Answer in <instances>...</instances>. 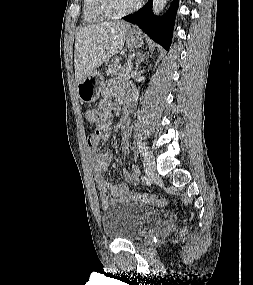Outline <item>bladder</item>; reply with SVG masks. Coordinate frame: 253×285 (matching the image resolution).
<instances>
[{
    "label": "bladder",
    "mask_w": 253,
    "mask_h": 285,
    "mask_svg": "<svg viewBox=\"0 0 253 285\" xmlns=\"http://www.w3.org/2000/svg\"><path fill=\"white\" fill-rule=\"evenodd\" d=\"M162 220L160 211L136 203L113 205L102 214V228L113 240H133Z\"/></svg>",
    "instance_id": "1"
}]
</instances>
